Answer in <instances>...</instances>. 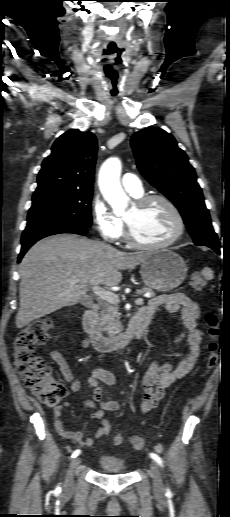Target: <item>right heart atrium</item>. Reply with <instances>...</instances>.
I'll return each mask as SVG.
<instances>
[{
	"instance_id": "obj_1",
	"label": "right heart atrium",
	"mask_w": 230,
	"mask_h": 517,
	"mask_svg": "<svg viewBox=\"0 0 230 517\" xmlns=\"http://www.w3.org/2000/svg\"><path fill=\"white\" fill-rule=\"evenodd\" d=\"M92 215L100 236L109 242L118 240L124 231L123 221L101 199L92 204Z\"/></svg>"
}]
</instances>
